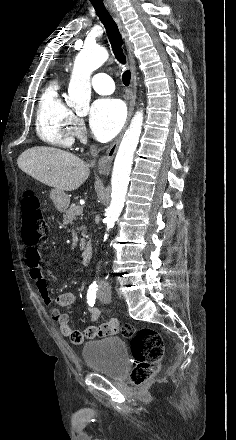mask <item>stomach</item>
Masks as SVG:
<instances>
[{"instance_id": "0dacf381", "label": "stomach", "mask_w": 236, "mask_h": 440, "mask_svg": "<svg viewBox=\"0 0 236 440\" xmlns=\"http://www.w3.org/2000/svg\"><path fill=\"white\" fill-rule=\"evenodd\" d=\"M50 199L53 201L59 212H65L69 206L70 200L68 195L61 190L53 189L50 193Z\"/></svg>"}]
</instances>
